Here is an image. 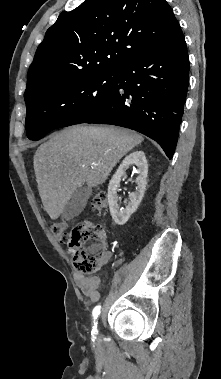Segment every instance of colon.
Masks as SVG:
<instances>
[{"instance_id": "5ec220e1", "label": "colon", "mask_w": 221, "mask_h": 379, "mask_svg": "<svg viewBox=\"0 0 221 379\" xmlns=\"http://www.w3.org/2000/svg\"><path fill=\"white\" fill-rule=\"evenodd\" d=\"M91 208L99 214L107 212V195L104 191L98 190L94 193ZM50 231L61 244H65L71 250L74 266L79 273L91 274L99 268L105 252V233L101 226L84 219L70 230L62 223H51Z\"/></svg>"}]
</instances>
